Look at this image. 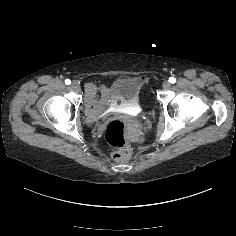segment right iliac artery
Listing matches in <instances>:
<instances>
[{
    "instance_id": "right-iliac-artery-1",
    "label": "right iliac artery",
    "mask_w": 236,
    "mask_h": 236,
    "mask_svg": "<svg viewBox=\"0 0 236 236\" xmlns=\"http://www.w3.org/2000/svg\"><path fill=\"white\" fill-rule=\"evenodd\" d=\"M65 84H66V85H70V84H71L70 79H66V80H65Z\"/></svg>"
}]
</instances>
